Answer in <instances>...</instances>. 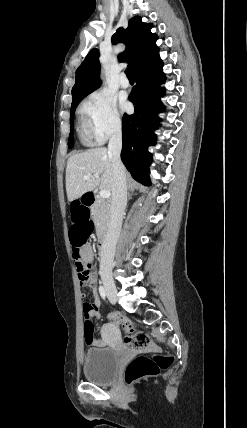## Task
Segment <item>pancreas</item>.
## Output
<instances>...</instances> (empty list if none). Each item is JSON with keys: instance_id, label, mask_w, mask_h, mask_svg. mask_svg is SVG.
<instances>
[{"instance_id": "obj_1", "label": "pancreas", "mask_w": 247, "mask_h": 428, "mask_svg": "<svg viewBox=\"0 0 247 428\" xmlns=\"http://www.w3.org/2000/svg\"><path fill=\"white\" fill-rule=\"evenodd\" d=\"M93 219L97 229L106 228L109 220V205L103 199H98L92 208Z\"/></svg>"}]
</instances>
